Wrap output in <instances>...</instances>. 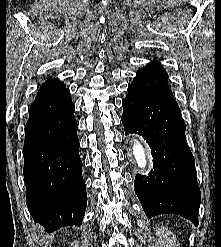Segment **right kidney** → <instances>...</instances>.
I'll return each instance as SVG.
<instances>
[{"mask_svg":"<svg viewBox=\"0 0 221 247\" xmlns=\"http://www.w3.org/2000/svg\"><path fill=\"white\" fill-rule=\"evenodd\" d=\"M70 247H79L78 241H74L71 243Z\"/></svg>","mask_w":221,"mask_h":247,"instance_id":"1","label":"right kidney"}]
</instances>
